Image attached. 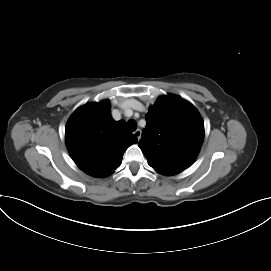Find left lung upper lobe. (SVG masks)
<instances>
[{
  "label": "left lung upper lobe",
  "mask_w": 271,
  "mask_h": 271,
  "mask_svg": "<svg viewBox=\"0 0 271 271\" xmlns=\"http://www.w3.org/2000/svg\"><path fill=\"white\" fill-rule=\"evenodd\" d=\"M139 147L153 168L180 173L196 159L204 123L196 108L176 95L160 97L146 114Z\"/></svg>",
  "instance_id": "1"
}]
</instances>
